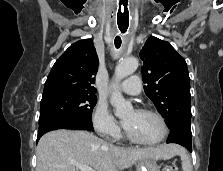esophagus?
<instances>
[{"label":"esophagus","instance_id":"esophagus-1","mask_svg":"<svg viewBox=\"0 0 223 171\" xmlns=\"http://www.w3.org/2000/svg\"><path fill=\"white\" fill-rule=\"evenodd\" d=\"M118 31H122L123 33L126 31H130L131 18L130 13H115Z\"/></svg>","mask_w":223,"mask_h":171}]
</instances>
